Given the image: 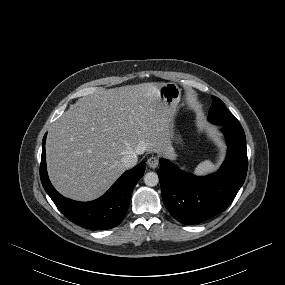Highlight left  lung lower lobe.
I'll return each instance as SVG.
<instances>
[{"mask_svg": "<svg viewBox=\"0 0 285 285\" xmlns=\"http://www.w3.org/2000/svg\"><path fill=\"white\" fill-rule=\"evenodd\" d=\"M222 125L228 153L220 170L207 177L182 172L161 159L158 170L162 198L170 214L183 224L201 223L223 211L234 200L247 174L246 138L242 126Z\"/></svg>", "mask_w": 285, "mask_h": 285, "instance_id": "0a47b994", "label": "left lung lower lobe"}]
</instances>
